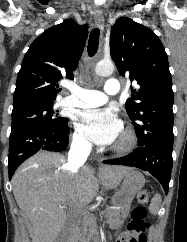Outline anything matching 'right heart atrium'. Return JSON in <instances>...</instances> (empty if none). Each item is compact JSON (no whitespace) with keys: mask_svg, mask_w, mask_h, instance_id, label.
I'll list each match as a JSON object with an SVG mask.
<instances>
[{"mask_svg":"<svg viewBox=\"0 0 187 242\" xmlns=\"http://www.w3.org/2000/svg\"><path fill=\"white\" fill-rule=\"evenodd\" d=\"M73 146L79 151H86L90 148V143L81 135L79 131H76L73 135Z\"/></svg>","mask_w":187,"mask_h":242,"instance_id":"obj_1","label":"right heart atrium"}]
</instances>
